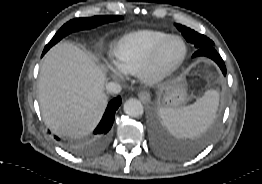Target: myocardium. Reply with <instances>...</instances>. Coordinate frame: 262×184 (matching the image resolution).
<instances>
[{"label":"myocardium","mask_w":262,"mask_h":184,"mask_svg":"<svg viewBox=\"0 0 262 184\" xmlns=\"http://www.w3.org/2000/svg\"><path fill=\"white\" fill-rule=\"evenodd\" d=\"M173 41H179L182 45L181 55L171 63L162 61L163 54L169 44ZM188 49L183 38L177 35L167 37L149 56L146 62L139 69L140 78L150 84L159 83L175 73L183 64L187 57Z\"/></svg>","instance_id":"obj_1"}]
</instances>
